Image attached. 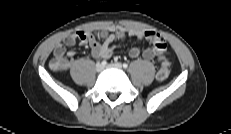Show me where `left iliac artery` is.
<instances>
[{"label":"left iliac artery","instance_id":"obj_1","mask_svg":"<svg viewBox=\"0 0 231 134\" xmlns=\"http://www.w3.org/2000/svg\"><path fill=\"white\" fill-rule=\"evenodd\" d=\"M123 67H124V68H127V67H128V64H127V63H124V64H123Z\"/></svg>","mask_w":231,"mask_h":134}]
</instances>
